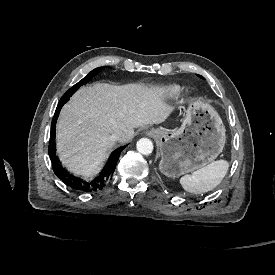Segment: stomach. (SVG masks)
Listing matches in <instances>:
<instances>
[{"label": "stomach", "mask_w": 275, "mask_h": 275, "mask_svg": "<svg viewBox=\"0 0 275 275\" xmlns=\"http://www.w3.org/2000/svg\"><path fill=\"white\" fill-rule=\"evenodd\" d=\"M161 160L159 170L177 178L213 162L223 151L225 126L218 112L209 104L192 102L182 125L177 130L152 129Z\"/></svg>", "instance_id": "stomach-1"}]
</instances>
